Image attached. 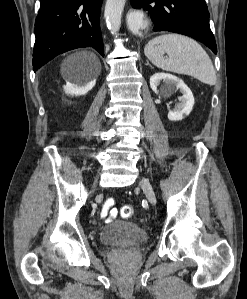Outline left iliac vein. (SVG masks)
Segmentation results:
<instances>
[{"instance_id":"1","label":"left iliac vein","mask_w":247,"mask_h":299,"mask_svg":"<svg viewBox=\"0 0 247 299\" xmlns=\"http://www.w3.org/2000/svg\"><path fill=\"white\" fill-rule=\"evenodd\" d=\"M140 187L143 189L146 197L150 201L151 204L155 205L156 204V196L154 193V190L149 182L148 179L142 178L139 182Z\"/></svg>"}]
</instances>
